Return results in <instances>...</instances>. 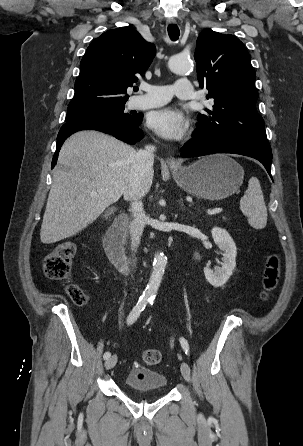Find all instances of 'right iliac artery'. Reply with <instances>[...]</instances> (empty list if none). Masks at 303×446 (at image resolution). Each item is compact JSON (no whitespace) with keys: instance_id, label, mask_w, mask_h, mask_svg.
I'll list each match as a JSON object with an SVG mask.
<instances>
[{"instance_id":"1","label":"right iliac artery","mask_w":303,"mask_h":446,"mask_svg":"<svg viewBox=\"0 0 303 446\" xmlns=\"http://www.w3.org/2000/svg\"><path fill=\"white\" fill-rule=\"evenodd\" d=\"M147 304V300L145 299H139L136 306L132 309V311L129 313L127 318V324L131 325L133 324L137 318L140 316V313L145 309ZM111 356L110 352H105L103 358L105 360L109 359Z\"/></svg>"}]
</instances>
